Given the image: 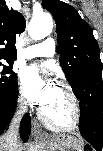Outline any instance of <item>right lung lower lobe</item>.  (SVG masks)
<instances>
[{"label":"right lung lower lobe","instance_id":"obj_1","mask_svg":"<svg viewBox=\"0 0 103 151\" xmlns=\"http://www.w3.org/2000/svg\"><path fill=\"white\" fill-rule=\"evenodd\" d=\"M18 93L14 97L0 94V135L8 129L15 119ZM31 131V119L25 114L20 122V136L23 142L28 140Z\"/></svg>","mask_w":103,"mask_h":151}]
</instances>
